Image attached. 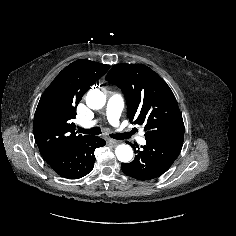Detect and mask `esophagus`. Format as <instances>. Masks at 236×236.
Wrapping results in <instances>:
<instances>
[{"label": "esophagus", "instance_id": "1", "mask_svg": "<svg viewBox=\"0 0 236 236\" xmlns=\"http://www.w3.org/2000/svg\"><path fill=\"white\" fill-rule=\"evenodd\" d=\"M108 142L114 146H116L117 144H119V141L118 140H115V139H109Z\"/></svg>", "mask_w": 236, "mask_h": 236}]
</instances>
